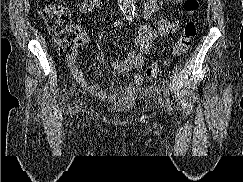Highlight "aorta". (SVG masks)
I'll return each mask as SVG.
<instances>
[{
	"mask_svg": "<svg viewBox=\"0 0 243 182\" xmlns=\"http://www.w3.org/2000/svg\"><path fill=\"white\" fill-rule=\"evenodd\" d=\"M136 0H118L119 7L127 19H131L135 13Z\"/></svg>",
	"mask_w": 243,
	"mask_h": 182,
	"instance_id": "762f6f07",
	"label": "aorta"
}]
</instances>
